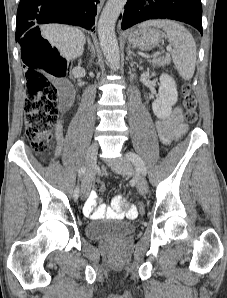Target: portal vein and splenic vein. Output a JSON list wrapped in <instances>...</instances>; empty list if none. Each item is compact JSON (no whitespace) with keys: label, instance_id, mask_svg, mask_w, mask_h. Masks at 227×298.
I'll return each mask as SVG.
<instances>
[{"label":"portal vein and splenic vein","instance_id":"obj_1","mask_svg":"<svg viewBox=\"0 0 227 298\" xmlns=\"http://www.w3.org/2000/svg\"><path fill=\"white\" fill-rule=\"evenodd\" d=\"M167 51H168V52H171V51H172L171 46H167Z\"/></svg>","mask_w":227,"mask_h":298}]
</instances>
